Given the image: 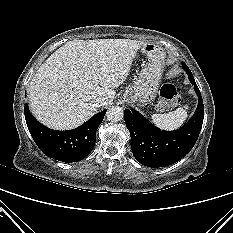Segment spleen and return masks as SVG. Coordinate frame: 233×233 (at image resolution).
<instances>
[{
    "instance_id": "obj_1",
    "label": "spleen",
    "mask_w": 233,
    "mask_h": 233,
    "mask_svg": "<svg viewBox=\"0 0 233 233\" xmlns=\"http://www.w3.org/2000/svg\"><path fill=\"white\" fill-rule=\"evenodd\" d=\"M187 108L188 106H185L169 113L153 114L151 118L157 127L165 130H174L179 128L187 119Z\"/></svg>"
}]
</instances>
